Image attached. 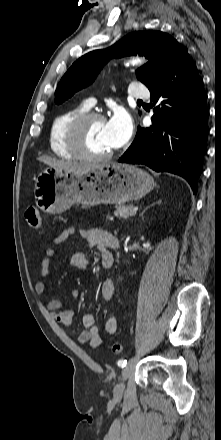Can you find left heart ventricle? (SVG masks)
Here are the masks:
<instances>
[{
    "instance_id": "obj_1",
    "label": "left heart ventricle",
    "mask_w": 221,
    "mask_h": 440,
    "mask_svg": "<svg viewBox=\"0 0 221 440\" xmlns=\"http://www.w3.org/2000/svg\"><path fill=\"white\" fill-rule=\"evenodd\" d=\"M85 143L94 154H104L112 149L106 132V121L94 120L86 128Z\"/></svg>"
}]
</instances>
